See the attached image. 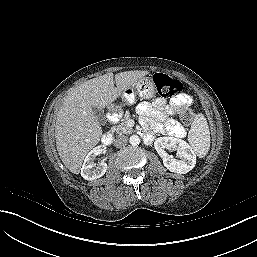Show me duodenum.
Listing matches in <instances>:
<instances>
[{"mask_svg":"<svg viewBox=\"0 0 257 257\" xmlns=\"http://www.w3.org/2000/svg\"><path fill=\"white\" fill-rule=\"evenodd\" d=\"M108 120L111 124H115L118 121V117L116 114H112L109 116ZM113 140L114 135L112 132L105 133L101 138V141L104 145H110L113 142Z\"/></svg>","mask_w":257,"mask_h":257,"instance_id":"1","label":"duodenum"}]
</instances>
